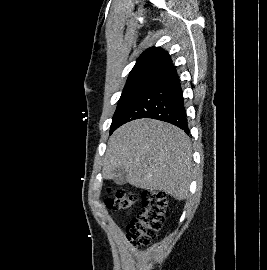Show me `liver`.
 I'll return each instance as SVG.
<instances>
[{
    "label": "liver",
    "instance_id": "1",
    "mask_svg": "<svg viewBox=\"0 0 267 270\" xmlns=\"http://www.w3.org/2000/svg\"><path fill=\"white\" fill-rule=\"evenodd\" d=\"M119 168L127 172L130 185L183 200L193 173L190 139L179 128L159 120L131 121L110 137L103 177L112 179Z\"/></svg>",
    "mask_w": 267,
    "mask_h": 270
}]
</instances>
